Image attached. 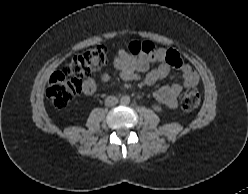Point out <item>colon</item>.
Masks as SVG:
<instances>
[{"mask_svg": "<svg viewBox=\"0 0 248 194\" xmlns=\"http://www.w3.org/2000/svg\"><path fill=\"white\" fill-rule=\"evenodd\" d=\"M128 49L131 54L153 53L156 47L151 42L133 41ZM165 61L177 67L180 64V56L173 50H165ZM107 62V49L104 45H97L86 52L75 56L60 71L55 72L47 86V96L57 108L65 107L72 101L82 88V80L98 71ZM200 92L194 88H188L181 98V107L190 112L196 109L200 103Z\"/></svg>", "mask_w": 248, "mask_h": 194, "instance_id": "1", "label": "colon"}]
</instances>
